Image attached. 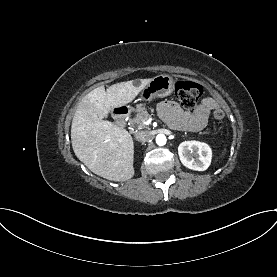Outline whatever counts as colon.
Listing matches in <instances>:
<instances>
[{
	"label": "colon",
	"instance_id": "1",
	"mask_svg": "<svg viewBox=\"0 0 277 277\" xmlns=\"http://www.w3.org/2000/svg\"><path fill=\"white\" fill-rule=\"evenodd\" d=\"M203 94V88L200 84L192 81H179L175 86V95L185 108H193ZM214 119L222 121L224 112L220 109L214 111Z\"/></svg>",
	"mask_w": 277,
	"mask_h": 277
}]
</instances>
